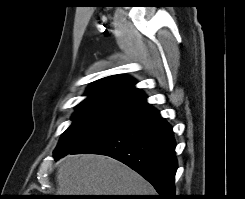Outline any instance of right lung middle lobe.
I'll return each instance as SVG.
<instances>
[{"mask_svg":"<svg viewBox=\"0 0 245 199\" xmlns=\"http://www.w3.org/2000/svg\"><path fill=\"white\" fill-rule=\"evenodd\" d=\"M127 116L95 108H77L72 124L63 133L54 151V157H62L101 137Z\"/></svg>","mask_w":245,"mask_h":199,"instance_id":"right-lung-middle-lobe-1","label":"right lung middle lobe"}]
</instances>
